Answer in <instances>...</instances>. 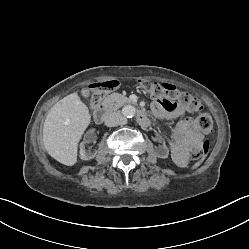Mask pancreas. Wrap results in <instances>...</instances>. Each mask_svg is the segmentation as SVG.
I'll list each match as a JSON object with an SVG mask.
<instances>
[{
    "label": "pancreas",
    "instance_id": "obj_1",
    "mask_svg": "<svg viewBox=\"0 0 249 249\" xmlns=\"http://www.w3.org/2000/svg\"><path fill=\"white\" fill-rule=\"evenodd\" d=\"M130 99L119 93H112L107 96L104 103L111 107L112 109H118L125 103H130Z\"/></svg>",
    "mask_w": 249,
    "mask_h": 249
}]
</instances>
